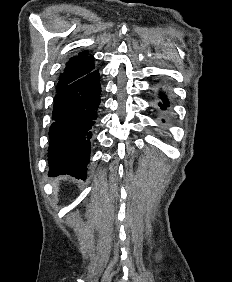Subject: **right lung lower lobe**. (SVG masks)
Masks as SVG:
<instances>
[{
	"label": "right lung lower lobe",
	"instance_id": "1",
	"mask_svg": "<svg viewBox=\"0 0 232 282\" xmlns=\"http://www.w3.org/2000/svg\"><path fill=\"white\" fill-rule=\"evenodd\" d=\"M100 93L98 70L56 89L53 123L49 129L50 177L70 174L86 179Z\"/></svg>",
	"mask_w": 232,
	"mask_h": 282
}]
</instances>
